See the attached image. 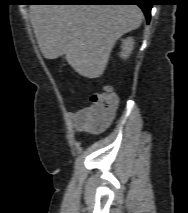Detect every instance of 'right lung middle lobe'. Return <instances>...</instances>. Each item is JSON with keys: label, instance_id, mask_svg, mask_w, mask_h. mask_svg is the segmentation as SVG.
I'll list each match as a JSON object with an SVG mask.
<instances>
[{"label": "right lung middle lobe", "instance_id": "obj_1", "mask_svg": "<svg viewBox=\"0 0 188 213\" xmlns=\"http://www.w3.org/2000/svg\"><path fill=\"white\" fill-rule=\"evenodd\" d=\"M33 1H34V3H43L46 0H33Z\"/></svg>", "mask_w": 188, "mask_h": 213}]
</instances>
